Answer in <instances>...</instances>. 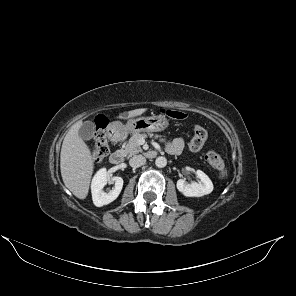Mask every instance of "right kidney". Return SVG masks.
Listing matches in <instances>:
<instances>
[{"label":"right kidney","instance_id":"ca27d5eb","mask_svg":"<svg viewBox=\"0 0 296 296\" xmlns=\"http://www.w3.org/2000/svg\"><path fill=\"white\" fill-rule=\"evenodd\" d=\"M111 180L115 182V186L109 193H105L103 188L108 181L106 168L100 169L93 177L91 183V193L95 206L102 207L107 205L113 202L119 196L123 187V179L121 177L115 176L112 177Z\"/></svg>","mask_w":296,"mask_h":296}]
</instances>
